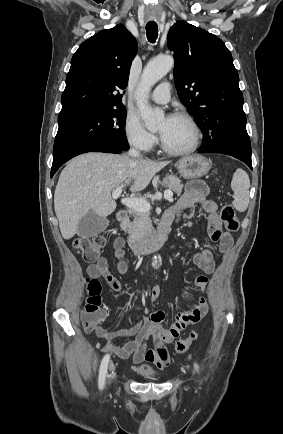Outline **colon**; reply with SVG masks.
Returning a JSON list of instances; mask_svg holds the SVG:
<instances>
[{
  "label": "colon",
  "instance_id": "5ec220e1",
  "mask_svg": "<svg viewBox=\"0 0 283 434\" xmlns=\"http://www.w3.org/2000/svg\"><path fill=\"white\" fill-rule=\"evenodd\" d=\"M220 219L224 223L225 228L230 232L238 230L239 221L236 211L230 204H224L220 210ZM106 244L103 235H95L89 237H81L76 241V248L82 258L89 263L98 260L101 252ZM88 297L85 303V308L82 314V324L90 331L99 327L105 319V312L101 308V284L98 279L89 277L87 279ZM198 338V333L192 331L185 339H180L175 344L176 353L186 352L193 341Z\"/></svg>",
  "mask_w": 283,
  "mask_h": 434
}]
</instances>
